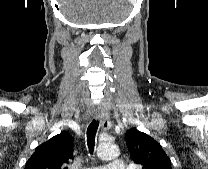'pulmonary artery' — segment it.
<instances>
[{"label": "pulmonary artery", "mask_w": 208, "mask_h": 169, "mask_svg": "<svg viewBox=\"0 0 208 169\" xmlns=\"http://www.w3.org/2000/svg\"><path fill=\"white\" fill-rule=\"evenodd\" d=\"M83 169H130V167L127 166L125 160L120 158H114L110 160L106 165L96 167H85Z\"/></svg>", "instance_id": "pulmonary-artery-1"}]
</instances>
